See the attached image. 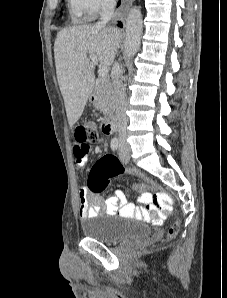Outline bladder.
<instances>
[{
	"mask_svg": "<svg viewBox=\"0 0 227 298\" xmlns=\"http://www.w3.org/2000/svg\"><path fill=\"white\" fill-rule=\"evenodd\" d=\"M81 228L86 237L104 244H117L151 235V229L147 224L129 218L87 220L82 223Z\"/></svg>",
	"mask_w": 227,
	"mask_h": 298,
	"instance_id": "1",
	"label": "bladder"
}]
</instances>
